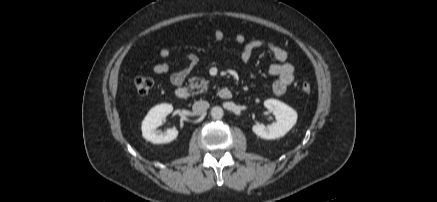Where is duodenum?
Listing matches in <instances>:
<instances>
[{"instance_id": "1", "label": "duodenum", "mask_w": 437, "mask_h": 202, "mask_svg": "<svg viewBox=\"0 0 437 202\" xmlns=\"http://www.w3.org/2000/svg\"><path fill=\"white\" fill-rule=\"evenodd\" d=\"M175 95L180 100H187L190 97V91L185 86L177 87ZM221 99L228 100L232 98V91L229 88H221L218 92Z\"/></svg>"}]
</instances>
